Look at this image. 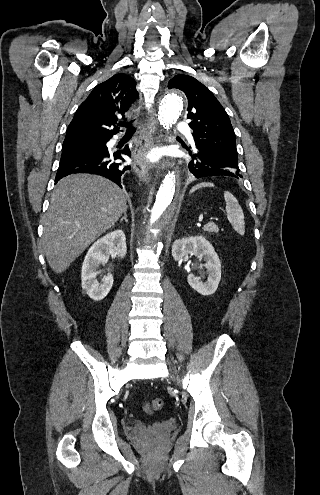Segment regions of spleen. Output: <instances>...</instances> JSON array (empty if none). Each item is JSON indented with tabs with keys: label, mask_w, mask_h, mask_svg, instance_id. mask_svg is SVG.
I'll return each mask as SVG.
<instances>
[{
	"label": "spleen",
	"mask_w": 320,
	"mask_h": 495,
	"mask_svg": "<svg viewBox=\"0 0 320 495\" xmlns=\"http://www.w3.org/2000/svg\"><path fill=\"white\" fill-rule=\"evenodd\" d=\"M202 187H214V184L210 182H202L194 186L191 189V192H194ZM224 199L226 202L227 219L231 223L233 229L239 235H243L245 233V222L244 213L241 206L239 205L237 199L229 191L224 192Z\"/></svg>",
	"instance_id": "3e777b00"
}]
</instances>
